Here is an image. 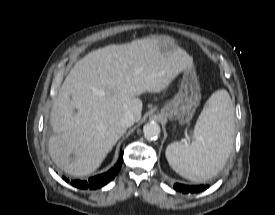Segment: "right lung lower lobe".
<instances>
[{
  "instance_id": "1",
  "label": "right lung lower lobe",
  "mask_w": 275,
  "mask_h": 215,
  "mask_svg": "<svg viewBox=\"0 0 275 215\" xmlns=\"http://www.w3.org/2000/svg\"><path fill=\"white\" fill-rule=\"evenodd\" d=\"M123 161V154L120 155L116 165L111 168L108 172L89 178L88 181L74 180L71 184L80 189H97L108 182H110L119 172ZM63 179L68 182L69 180L65 177Z\"/></svg>"
}]
</instances>
